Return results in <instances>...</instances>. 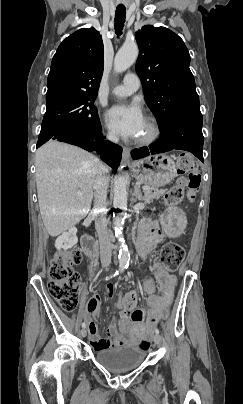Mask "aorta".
I'll return each mask as SVG.
<instances>
[{"label":"aorta","mask_w":243,"mask_h":404,"mask_svg":"<svg viewBox=\"0 0 243 404\" xmlns=\"http://www.w3.org/2000/svg\"><path fill=\"white\" fill-rule=\"evenodd\" d=\"M138 54L139 50L135 42H125L114 58V72L122 74V72L128 70V68L136 62ZM129 176V168L125 164L116 168L113 198V224L115 236L118 238V242H120L119 266L121 272L125 270L129 262V254L123 238L124 219L127 217V184Z\"/></svg>","instance_id":"1"}]
</instances>
